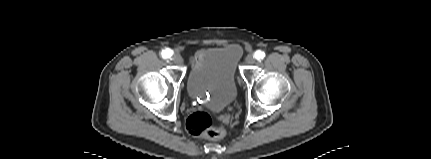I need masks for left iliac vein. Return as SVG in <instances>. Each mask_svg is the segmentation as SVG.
I'll list each match as a JSON object with an SVG mask.
<instances>
[{
	"instance_id": "left-iliac-vein-1",
	"label": "left iliac vein",
	"mask_w": 431,
	"mask_h": 159,
	"mask_svg": "<svg viewBox=\"0 0 431 159\" xmlns=\"http://www.w3.org/2000/svg\"><path fill=\"white\" fill-rule=\"evenodd\" d=\"M245 63L248 65L254 64L255 63L254 55H252V54L247 55L245 58Z\"/></svg>"
}]
</instances>
